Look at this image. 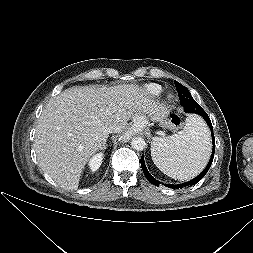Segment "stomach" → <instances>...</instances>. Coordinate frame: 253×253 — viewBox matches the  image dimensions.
Returning a JSON list of instances; mask_svg holds the SVG:
<instances>
[{"instance_id":"obj_1","label":"stomach","mask_w":253,"mask_h":253,"mask_svg":"<svg viewBox=\"0 0 253 253\" xmlns=\"http://www.w3.org/2000/svg\"><path fill=\"white\" fill-rule=\"evenodd\" d=\"M166 118V116H163L162 118H161V123L164 121L163 119H165ZM147 125V124H146ZM145 125V126H146Z\"/></svg>"}]
</instances>
